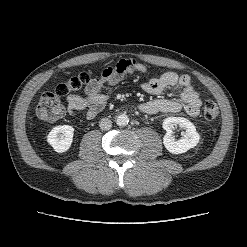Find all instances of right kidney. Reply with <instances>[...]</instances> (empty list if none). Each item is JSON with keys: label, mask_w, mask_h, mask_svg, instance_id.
<instances>
[{"label": "right kidney", "mask_w": 247, "mask_h": 247, "mask_svg": "<svg viewBox=\"0 0 247 247\" xmlns=\"http://www.w3.org/2000/svg\"><path fill=\"white\" fill-rule=\"evenodd\" d=\"M74 128L70 125H62L53 128L48 136L47 142L58 153L69 150L73 142Z\"/></svg>", "instance_id": "ca27d5eb"}]
</instances>
